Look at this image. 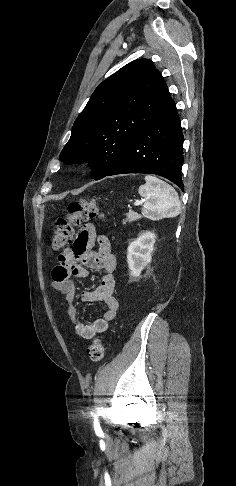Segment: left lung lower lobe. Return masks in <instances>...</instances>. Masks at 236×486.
Masks as SVG:
<instances>
[{
	"mask_svg": "<svg viewBox=\"0 0 236 486\" xmlns=\"http://www.w3.org/2000/svg\"><path fill=\"white\" fill-rule=\"evenodd\" d=\"M184 137L174 100L143 128L106 176L148 173L167 178L182 190Z\"/></svg>",
	"mask_w": 236,
	"mask_h": 486,
	"instance_id": "left-lung-lower-lobe-1",
	"label": "left lung lower lobe"
}]
</instances>
